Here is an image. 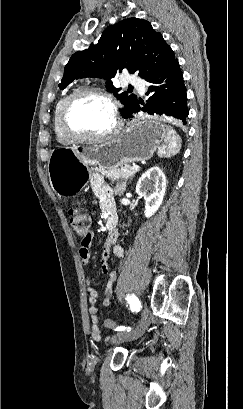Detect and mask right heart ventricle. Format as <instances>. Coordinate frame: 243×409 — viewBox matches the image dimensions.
<instances>
[{
    "mask_svg": "<svg viewBox=\"0 0 243 409\" xmlns=\"http://www.w3.org/2000/svg\"><path fill=\"white\" fill-rule=\"evenodd\" d=\"M70 94H71V92L63 95L57 101V103L55 105V108H54V114H53V127H54V132H55L56 138L61 144H65V145L73 143V140H71L69 137H67L66 134L63 132V130L61 128V125H60V111H61V108H62V105H63L65 99Z\"/></svg>",
    "mask_w": 243,
    "mask_h": 409,
    "instance_id": "1",
    "label": "right heart ventricle"
}]
</instances>
